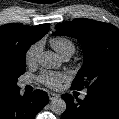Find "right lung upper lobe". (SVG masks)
Wrapping results in <instances>:
<instances>
[{
    "instance_id": "1",
    "label": "right lung upper lobe",
    "mask_w": 119,
    "mask_h": 119,
    "mask_svg": "<svg viewBox=\"0 0 119 119\" xmlns=\"http://www.w3.org/2000/svg\"><path fill=\"white\" fill-rule=\"evenodd\" d=\"M49 31V24L35 27L19 24L0 26V105L14 92L19 90L17 84L10 81L5 75L7 63L10 60L11 50L22 44L30 46L41 39Z\"/></svg>"
}]
</instances>
